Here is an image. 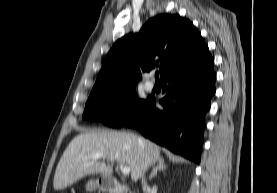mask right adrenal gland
Returning a JSON list of instances; mask_svg holds the SVG:
<instances>
[{"mask_svg": "<svg viewBox=\"0 0 277 193\" xmlns=\"http://www.w3.org/2000/svg\"><path fill=\"white\" fill-rule=\"evenodd\" d=\"M160 170H162V171L166 170V165L164 163L163 158H159L157 165L153 168V170L150 174L149 180H152V178L157 176V172Z\"/></svg>", "mask_w": 277, "mask_h": 193, "instance_id": "obj_1", "label": "right adrenal gland"}]
</instances>
